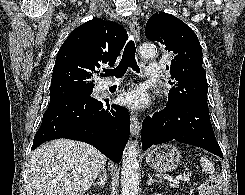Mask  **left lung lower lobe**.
Returning a JSON list of instances; mask_svg holds the SVG:
<instances>
[{"mask_svg": "<svg viewBox=\"0 0 245 195\" xmlns=\"http://www.w3.org/2000/svg\"><path fill=\"white\" fill-rule=\"evenodd\" d=\"M142 149L171 140L201 147L223 158L212 125L208 106L196 102L166 107L144 120L142 124Z\"/></svg>", "mask_w": 245, "mask_h": 195, "instance_id": "1", "label": "left lung lower lobe"}]
</instances>
